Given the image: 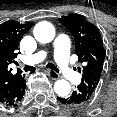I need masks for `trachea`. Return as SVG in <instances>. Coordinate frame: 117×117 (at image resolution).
<instances>
[{"instance_id": "trachea-1", "label": "trachea", "mask_w": 117, "mask_h": 117, "mask_svg": "<svg viewBox=\"0 0 117 117\" xmlns=\"http://www.w3.org/2000/svg\"><path fill=\"white\" fill-rule=\"evenodd\" d=\"M46 66H47L48 68L54 70V71L57 72V73L59 72V69H58L54 64H52V63H47ZM23 69H24L25 72H28V71H33V70H35L36 67H34V66H25Z\"/></svg>"}]
</instances>
